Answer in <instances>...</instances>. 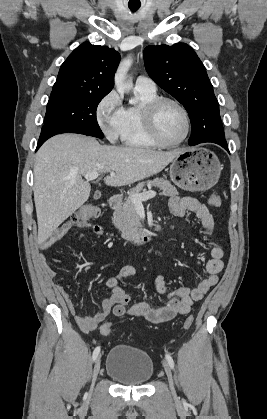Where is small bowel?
<instances>
[{
    "instance_id": "c3829d8e",
    "label": "small bowel",
    "mask_w": 267,
    "mask_h": 419,
    "mask_svg": "<svg viewBox=\"0 0 267 419\" xmlns=\"http://www.w3.org/2000/svg\"><path fill=\"white\" fill-rule=\"evenodd\" d=\"M169 211L175 217H183L187 213H194L201 222L203 232L214 241L210 251L211 258L206 264L207 277L199 280L193 288L179 287L173 291H168L164 276L158 275L155 279L156 290L160 294L167 295L168 301L164 306L154 309L146 301L130 304V297L123 291L120 283L124 279L133 276L136 270L130 265L123 266L115 275L107 279L106 286L111 290V295L103 300L100 311L92 317L81 316L66 288L61 284L55 285V289L65 301L83 332L88 333L95 330L110 314L118 317L144 318L152 323L170 321L179 315L188 314L193 302L200 301L206 292L218 283L219 274L224 268V249L217 240L214 231V220L207 206L192 197H173L169 201ZM75 227L83 229V232L78 235L77 241L88 235L103 236L105 234L104 228L100 225L90 222L75 223L68 220L51 233L42 243L41 249L45 250L51 247ZM40 261L47 275L51 278L55 277L56 273L47 264L46 258L41 256Z\"/></svg>"
}]
</instances>
